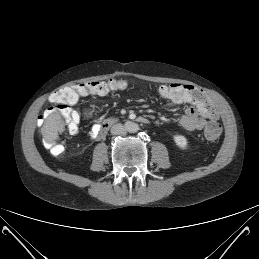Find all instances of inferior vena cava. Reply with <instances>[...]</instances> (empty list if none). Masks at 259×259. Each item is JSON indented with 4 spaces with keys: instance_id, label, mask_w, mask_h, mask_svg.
Instances as JSON below:
<instances>
[{
    "instance_id": "inferior-vena-cava-1",
    "label": "inferior vena cava",
    "mask_w": 259,
    "mask_h": 259,
    "mask_svg": "<svg viewBox=\"0 0 259 259\" xmlns=\"http://www.w3.org/2000/svg\"><path fill=\"white\" fill-rule=\"evenodd\" d=\"M111 134L113 135H125L126 129L122 124H115L111 127Z\"/></svg>"
}]
</instances>
